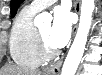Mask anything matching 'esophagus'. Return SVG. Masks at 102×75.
<instances>
[{"label": "esophagus", "instance_id": "esophagus-1", "mask_svg": "<svg viewBox=\"0 0 102 75\" xmlns=\"http://www.w3.org/2000/svg\"><path fill=\"white\" fill-rule=\"evenodd\" d=\"M75 11L78 14L80 13V0H77L75 2ZM76 30H77V27L74 29V34L76 33ZM62 62H63V58H61L59 61H57L54 65H51L50 67L46 68L45 71L51 75H58Z\"/></svg>", "mask_w": 102, "mask_h": 75}]
</instances>
